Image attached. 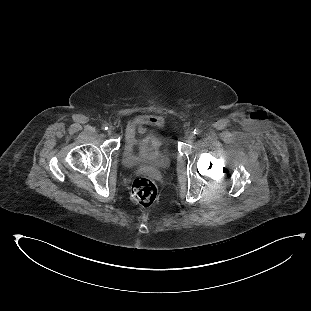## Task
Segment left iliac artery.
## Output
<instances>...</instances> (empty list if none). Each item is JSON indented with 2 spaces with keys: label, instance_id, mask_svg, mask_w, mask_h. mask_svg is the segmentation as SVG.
Masks as SVG:
<instances>
[{
  "label": "left iliac artery",
  "instance_id": "left-iliac-artery-1",
  "mask_svg": "<svg viewBox=\"0 0 311 311\" xmlns=\"http://www.w3.org/2000/svg\"><path fill=\"white\" fill-rule=\"evenodd\" d=\"M200 133H201V130H200V129L196 128V129L194 130V134L199 135Z\"/></svg>",
  "mask_w": 311,
  "mask_h": 311
}]
</instances>
